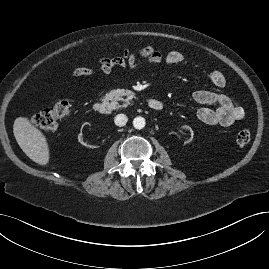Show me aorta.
Masks as SVG:
<instances>
[{"mask_svg":"<svg viewBox=\"0 0 269 269\" xmlns=\"http://www.w3.org/2000/svg\"><path fill=\"white\" fill-rule=\"evenodd\" d=\"M133 126L135 129H143L145 127V119L143 117H135L133 120Z\"/></svg>","mask_w":269,"mask_h":269,"instance_id":"762f6f07","label":"aorta"}]
</instances>
